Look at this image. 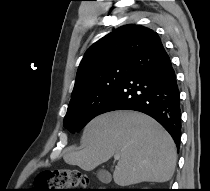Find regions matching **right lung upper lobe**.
Here are the masks:
<instances>
[{
	"label": "right lung upper lobe",
	"instance_id": "cb5924a9",
	"mask_svg": "<svg viewBox=\"0 0 210 191\" xmlns=\"http://www.w3.org/2000/svg\"><path fill=\"white\" fill-rule=\"evenodd\" d=\"M155 34L149 28L129 24L98 40L81 60L72 95L84 88L98 71L115 63H130Z\"/></svg>",
	"mask_w": 210,
	"mask_h": 191
}]
</instances>
